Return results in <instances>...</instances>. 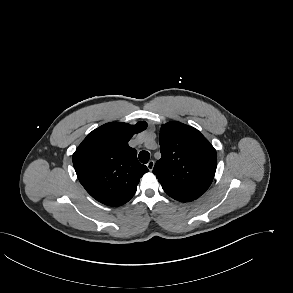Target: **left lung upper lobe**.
Masks as SVG:
<instances>
[{
    "instance_id": "1",
    "label": "left lung upper lobe",
    "mask_w": 293,
    "mask_h": 293,
    "mask_svg": "<svg viewBox=\"0 0 293 293\" xmlns=\"http://www.w3.org/2000/svg\"><path fill=\"white\" fill-rule=\"evenodd\" d=\"M159 142L162 157L153 173L164 191L181 202L200 197L216 172L214 147L197 129L173 121L161 126Z\"/></svg>"
}]
</instances>
